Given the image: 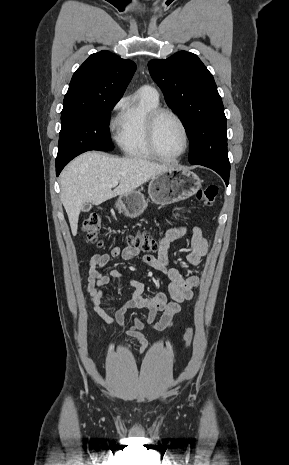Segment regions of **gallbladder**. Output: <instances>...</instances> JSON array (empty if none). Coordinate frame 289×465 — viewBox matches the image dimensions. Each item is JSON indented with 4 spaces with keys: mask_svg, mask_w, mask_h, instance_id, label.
<instances>
[{
    "mask_svg": "<svg viewBox=\"0 0 289 465\" xmlns=\"http://www.w3.org/2000/svg\"><path fill=\"white\" fill-rule=\"evenodd\" d=\"M91 204L90 203H85L82 207L83 212H88L91 209Z\"/></svg>",
    "mask_w": 289,
    "mask_h": 465,
    "instance_id": "obj_1",
    "label": "gallbladder"
}]
</instances>
